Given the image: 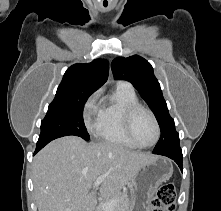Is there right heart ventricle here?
<instances>
[{
    "instance_id": "e07e8e85",
    "label": "right heart ventricle",
    "mask_w": 221,
    "mask_h": 211,
    "mask_svg": "<svg viewBox=\"0 0 221 211\" xmlns=\"http://www.w3.org/2000/svg\"><path fill=\"white\" fill-rule=\"evenodd\" d=\"M138 103V97L131 86L117 84L101 107L100 124L96 131L97 136L110 144L136 148L125 134L123 114L128 106Z\"/></svg>"
}]
</instances>
